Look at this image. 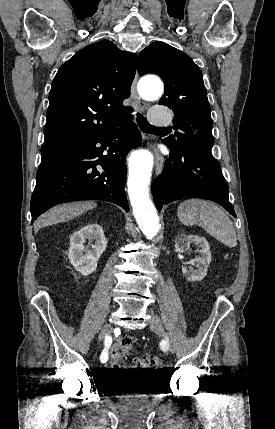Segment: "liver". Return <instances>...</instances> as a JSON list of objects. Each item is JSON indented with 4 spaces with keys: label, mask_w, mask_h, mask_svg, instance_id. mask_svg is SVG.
<instances>
[{
    "label": "liver",
    "mask_w": 275,
    "mask_h": 429,
    "mask_svg": "<svg viewBox=\"0 0 275 429\" xmlns=\"http://www.w3.org/2000/svg\"><path fill=\"white\" fill-rule=\"evenodd\" d=\"M94 207H96V204L91 202H78L56 206L40 216V218L35 222V231L51 224L72 219Z\"/></svg>",
    "instance_id": "6515ba94"
}]
</instances>
